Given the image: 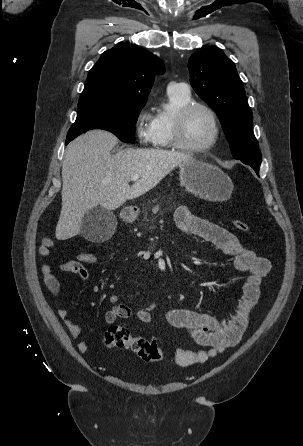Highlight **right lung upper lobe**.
<instances>
[{
    "label": "right lung upper lobe",
    "instance_id": "right-lung-upper-lobe-1",
    "mask_svg": "<svg viewBox=\"0 0 303 446\" xmlns=\"http://www.w3.org/2000/svg\"><path fill=\"white\" fill-rule=\"evenodd\" d=\"M164 71L161 59L149 51L138 46H115L105 51L89 71L78 105L144 106L155 74Z\"/></svg>",
    "mask_w": 303,
    "mask_h": 446
}]
</instances>
